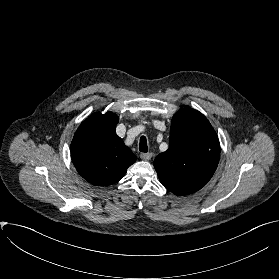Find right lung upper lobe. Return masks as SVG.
<instances>
[{"label":"right lung upper lobe","instance_id":"1","mask_svg":"<svg viewBox=\"0 0 279 279\" xmlns=\"http://www.w3.org/2000/svg\"><path fill=\"white\" fill-rule=\"evenodd\" d=\"M119 118L112 112L94 113L76 131L71 143L73 163L93 185L118 182L136 156L115 132Z\"/></svg>","mask_w":279,"mask_h":279}]
</instances>
